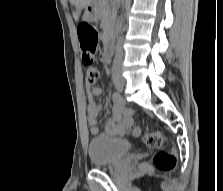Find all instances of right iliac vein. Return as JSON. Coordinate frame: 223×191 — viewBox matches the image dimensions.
<instances>
[{"label": "right iliac vein", "mask_w": 223, "mask_h": 191, "mask_svg": "<svg viewBox=\"0 0 223 191\" xmlns=\"http://www.w3.org/2000/svg\"><path fill=\"white\" fill-rule=\"evenodd\" d=\"M114 85L116 87L117 90L122 91L124 89V85L125 83L123 81L120 80H114Z\"/></svg>", "instance_id": "right-iliac-vein-1"}]
</instances>
